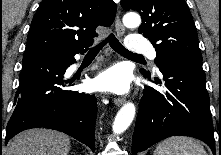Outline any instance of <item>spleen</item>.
<instances>
[{"mask_svg": "<svg viewBox=\"0 0 221 155\" xmlns=\"http://www.w3.org/2000/svg\"><path fill=\"white\" fill-rule=\"evenodd\" d=\"M154 155H207L203 146L186 136H175L160 142Z\"/></svg>", "mask_w": 221, "mask_h": 155, "instance_id": "obj_1", "label": "spleen"}]
</instances>
